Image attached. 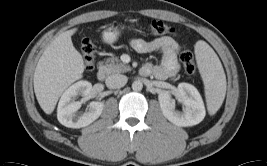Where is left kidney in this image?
I'll list each match as a JSON object with an SVG mask.
<instances>
[{
    "mask_svg": "<svg viewBox=\"0 0 267 166\" xmlns=\"http://www.w3.org/2000/svg\"><path fill=\"white\" fill-rule=\"evenodd\" d=\"M177 91L185 109L183 112L176 111L175 100L168 92H163L159 95L163 115L177 126L187 127L199 124L206 114L200 93L188 83H180Z\"/></svg>",
    "mask_w": 267,
    "mask_h": 166,
    "instance_id": "1",
    "label": "left kidney"
}]
</instances>
